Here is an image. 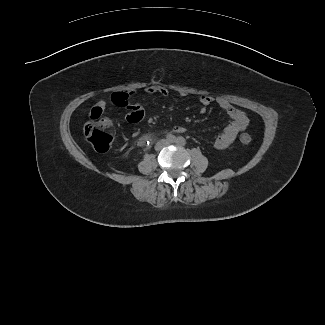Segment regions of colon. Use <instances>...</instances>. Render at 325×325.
Segmentation results:
<instances>
[{
	"label": "colon",
	"instance_id": "5ec220e1",
	"mask_svg": "<svg viewBox=\"0 0 325 325\" xmlns=\"http://www.w3.org/2000/svg\"><path fill=\"white\" fill-rule=\"evenodd\" d=\"M114 126L109 119H92L84 127V136L86 140L98 152H106L112 143ZM252 137L249 134H242L240 142L249 144Z\"/></svg>",
	"mask_w": 325,
	"mask_h": 325
}]
</instances>
